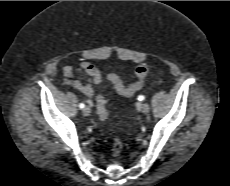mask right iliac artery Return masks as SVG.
<instances>
[{"label": "right iliac artery", "instance_id": "82829eb1", "mask_svg": "<svg viewBox=\"0 0 230 186\" xmlns=\"http://www.w3.org/2000/svg\"><path fill=\"white\" fill-rule=\"evenodd\" d=\"M79 107H80L81 109H83V108L85 107L84 103H81V104L79 105Z\"/></svg>", "mask_w": 230, "mask_h": 186}]
</instances>
